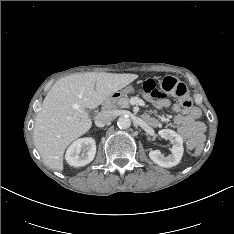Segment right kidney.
<instances>
[{"label":"right kidney","mask_w":234,"mask_h":234,"mask_svg":"<svg viewBox=\"0 0 234 234\" xmlns=\"http://www.w3.org/2000/svg\"><path fill=\"white\" fill-rule=\"evenodd\" d=\"M96 154V143L91 137L75 140L67 149L65 159L74 167L85 166L93 161Z\"/></svg>","instance_id":"ca27d5eb"}]
</instances>
